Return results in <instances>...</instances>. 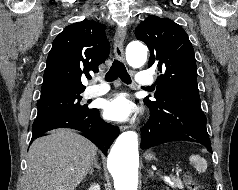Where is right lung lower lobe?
Here are the masks:
<instances>
[{
    "label": "right lung lower lobe",
    "instance_id": "1",
    "mask_svg": "<svg viewBox=\"0 0 238 190\" xmlns=\"http://www.w3.org/2000/svg\"><path fill=\"white\" fill-rule=\"evenodd\" d=\"M56 128H72L84 133L105 155L119 134V128L104 122L98 109L63 112L36 118L32 126V139Z\"/></svg>",
    "mask_w": 238,
    "mask_h": 190
}]
</instances>
